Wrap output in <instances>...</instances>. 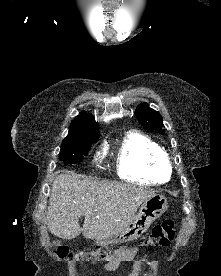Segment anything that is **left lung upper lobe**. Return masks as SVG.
I'll list each match as a JSON object with an SVG mask.
<instances>
[{"label":"left lung upper lobe","instance_id":"left-lung-upper-lobe-1","mask_svg":"<svg viewBox=\"0 0 221 276\" xmlns=\"http://www.w3.org/2000/svg\"><path fill=\"white\" fill-rule=\"evenodd\" d=\"M138 121L148 130L164 134L163 121L160 113L151 109L147 103H141L136 109Z\"/></svg>","mask_w":221,"mask_h":276}]
</instances>
